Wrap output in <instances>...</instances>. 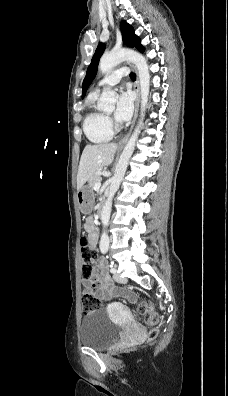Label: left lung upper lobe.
<instances>
[{
  "instance_id": "obj_1",
  "label": "left lung upper lobe",
  "mask_w": 228,
  "mask_h": 396,
  "mask_svg": "<svg viewBox=\"0 0 228 396\" xmlns=\"http://www.w3.org/2000/svg\"><path fill=\"white\" fill-rule=\"evenodd\" d=\"M120 29L122 32L123 42L125 45H127L129 47H136L138 50L144 52V47L141 45L139 37H137L135 35L134 29L131 25H129L125 21H122L121 25H120ZM104 49H105V45L103 43H100L96 49L95 54L93 55L91 64L89 65V67L87 69V74L83 80L82 98L85 96L88 87L90 86V84L92 83V80L96 76L99 59H100L101 55L103 54Z\"/></svg>"
}]
</instances>
